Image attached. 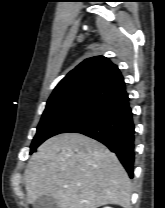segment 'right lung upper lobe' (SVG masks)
<instances>
[{"label":"right lung upper lobe","instance_id":"obj_1","mask_svg":"<svg viewBox=\"0 0 165 208\" xmlns=\"http://www.w3.org/2000/svg\"><path fill=\"white\" fill-rule=\"evenodd\" d=\"M125 90L117 66L103 56L84 60L56 86L46 106L61 104L96 105L103 99Z\"/></svg>","mask_w":165,"mask_h":208}]
</instances>
